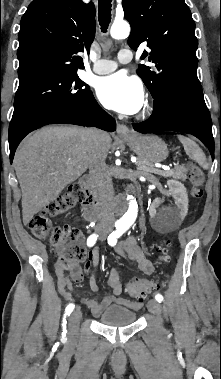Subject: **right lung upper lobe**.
I'll use <instances>...</instances> for the list:
<instances>
[{"label": "right lung upper lobe", "mask_w": 221, "mask_h": 379, "mask_svg": "<svg viewBox=\"0 0 221 379\" xmlns=\"http://www.w3.org/2000/svg\"><path fill=\"white\" fill-rule=\"evenodd\" d=\"M19 31V82L43 74L83 69L77 54L89 52L95 34V7L82 0H34Z\"/></svg>", "instance_id": "cb5924a9"}]
</instances>
